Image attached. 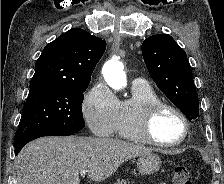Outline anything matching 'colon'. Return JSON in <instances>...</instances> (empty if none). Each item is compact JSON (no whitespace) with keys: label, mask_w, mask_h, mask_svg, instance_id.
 <instances>
[{"label":"colon","mask_w":224,"mask_h":184,"mask_svg":"<svg viewBox=\"0 0 224 184\" xmlns=\"http://www.w3.org/2000/svg\"><path fill=\"white\" fill-rule=\"evenodd\" d=\"M174 184H193L189 169L182 164H175L172 168Z\"/></svg>","instance_id":"colon-1"}]
</instances>
